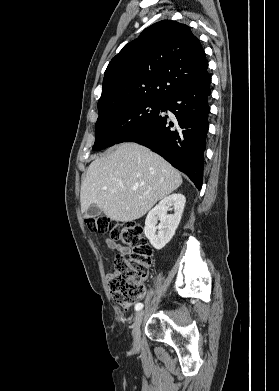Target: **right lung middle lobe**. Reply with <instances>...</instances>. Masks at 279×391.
<instances>
[{
	"label": "right lung middle lobe",
	"mask_w": 279,
	"mask_h": 391,
	"mask_svg": "<svg viewBox=\"0 0 279 391\" xmlns=\"http://www.w3.org/2000/svg\"><path fill=\"white\" fill-rule=\"evenodd\" d=\"M162 104V101L138 100L100 113L93 149L100 150L117 144L128 132L156 118Z\"/></svg>",
	"instance_id": "1"
}]
</instances>
